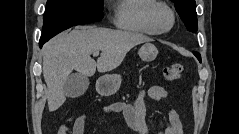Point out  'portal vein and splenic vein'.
Here are the masks:
<instances>
[{"label":"portal vein and splenic vein","instance_id":"1","mask_svg":"<svg viewBox=\"0 0 239 134\" xmlns=\"http://www.w3.org/2000/svg\"><path fill=\"white\" fill-rule=\"evenodd\" d=\"M93 55H94V56H98V55H99V52H98V51H97V52H94Z\"/></svg>","mask_w":239,"mask_h":134}]
</instances>
